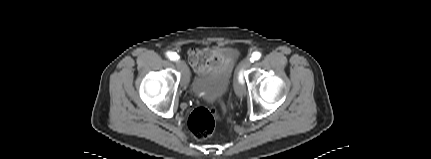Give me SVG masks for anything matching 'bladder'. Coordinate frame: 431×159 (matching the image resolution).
Returning a JSON list of instances; mask_svg holds the SVG:
<instances>
[{"mask_svg": "<svg viewBox=\"0 0 431 159\" xmlns=\"http://www.w3.org/2000/svg\"><path fill=\"white\" fill-rule=\"evenodd\" d=\"M225 52L228 54L230 59L227 67L208 74L197 75L192 80V91L201 96L203 100L208 103H212L224 96L230 87L234 62L237 58V51L230 48L226 49Z\"/></svg>", "mask_w": 431, "mask_h": 159, "instance_id": "bladder-1", "label": "bladder"}]
</instances>
